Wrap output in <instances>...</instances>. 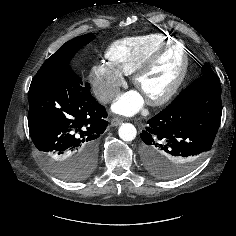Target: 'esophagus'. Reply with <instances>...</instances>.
I'll return each mask as SVG.
<instances>
[{
	"mask_svg": "<svg viewBox=\"0 0 236 236\" xmlns=\"http://www.w3.org/2000/svg\"><path fill=\"white\" fill-rule=\"evenodd\" d=\"M123 122L122 118L116 117L111 120V126H118Z\"/></svg>",
	"mask_w": 236,
	"mask_h": 236,
	"instance_id": "1",
	"label": "esophagus"
}]
</instances>
